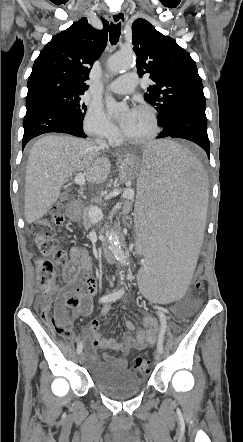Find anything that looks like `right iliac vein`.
I'll return each mask as SVG.
<instances>
[{"mask_svg": "<svg viewBox=\"0 0 243 442\" xmlns=\"http://www.w3.org/2000/svg\"><path fill=\"white\" fill-rule=\"evenodd\" d=\"M79 359H80V362L83 363L86 360L85 353L81 352L80 355H79Z\"/></svg>", "mask_w": 243, "mask_h": 442, "instance_id": "63e3f726", "label": "right iliac vein"}]
</instances>
